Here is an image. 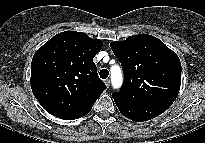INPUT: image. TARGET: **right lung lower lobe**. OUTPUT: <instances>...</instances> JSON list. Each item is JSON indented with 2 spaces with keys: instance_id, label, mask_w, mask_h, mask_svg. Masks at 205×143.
<instances>
[{
  "instance_id": "obj_1",
  "label": "right lung lower lobe",
  "mask_w": 205,
  "mask_h": 143,
  "mask_svg": "<svg viewBox=\"0 0 205 143\" xmlns=\"http://www.w3.org/2000/svg\"><path fill=\"white\" fill-rule=\"evenodd\" d=\"M91 108H92V107H91ZM91 108H90V109H88L86 112H84V113H83V114H81V115L74 116V117H61V119H67V120H74V119H78V118H80V117H82V116L86 115L87 113H89V111L91 110Z\"/></svg>"
}]
</instances>
